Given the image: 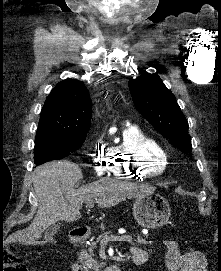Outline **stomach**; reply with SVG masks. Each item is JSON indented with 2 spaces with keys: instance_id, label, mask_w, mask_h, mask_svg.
Here are the masks:
<instances>
[{
  "instance_id": "0dacf381",
  "label": "stomach",
  "mask_w": 221,
  "mask_h": 271,
  "mask_svg": "<svg viewBox=\"0 0 221 271\" xmlns=\"http://www.w3.org/2000/svg\"><path fill=\"white\" fill-rule=\"evenodd\" d=\"M133 215L142 227H161L168 223L171 209L168 201L161 195L141 193L133 203Z\"/></svg>"
}]
</instances>
